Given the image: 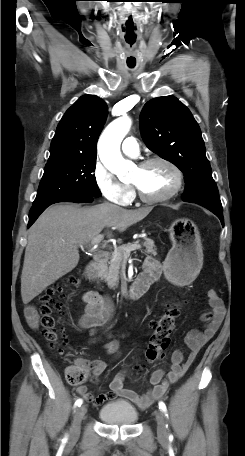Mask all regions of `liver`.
I'll list each match as a JSON object with an SVG mask.
<instances>
[{
    "label": "liver",
    "mask_w": 245,
    "mask_h": 456,
    "mask_svg": "<svg viewBox=\"0 0 245 456\" xmlns=\"http://www.w3.org/2000/svg\"><path fill=\"white\" fill-rule=\"evenodd\" d=\"M151 210L152 207L124 209L108 202L92 207L50 206L29 229L21 274L23 303H29L72 271L79 262V246L90 243L105 227L125 231Z\"/></svg>",
    "instance_id": "obj_1"
}]
</instances>
